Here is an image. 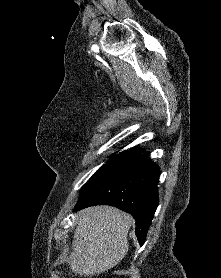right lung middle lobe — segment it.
I'll list each match as a JSON object with an SVG mask.
<instances>
[{"mask_svg":"<svg viewBox=\"0 0 221 278\" xmlns=\"http://www.w3.org/2000/svg\"><path fill=\"white\" fill-rule=\"evenodd\" d=\"M136 157L135 149L124 151L111 157L106 164L99 168L87 181L81 190L79 201L82 200L94 187L107 179L122 167L129 165ZM78 201V202H79Z\"/></svg>","mask_w":221,"mask_h":278,"instance_id":"dd1d6c3e","label":"right lung middle lobe"}]
</instances>
